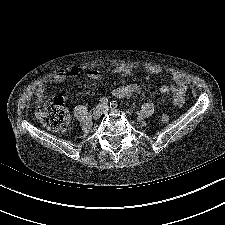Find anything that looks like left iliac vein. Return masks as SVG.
Wrapping results in <instances>:
<instances>
[{"label": "left iliac vein", "mask_w": 225, "mask_h": 225, "mask_svg": "<svg viewBox=\"0 0 225 225\" xmlns=\"http://www.w3.org/2000/svg\"><path fill=\"white\" fill-rule=\"evenodd\" d=\"M110 110H112V111H117V110L114 109V108H113V109H110L108 106H104V107H103V112H104V113H106V112H108V111H110Z\"/></svg>", "instance_id": "obj_1"}]
</instances>
